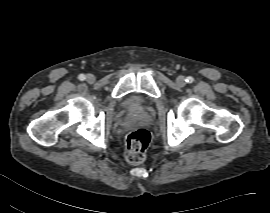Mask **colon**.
Instances as JSON below:
<instances>
[{"label": "colon", "instance_id": "1", "mask_svg": "<svg viewBox=\"0 0 270 213\" xmlns=\"http://www.w3.org/2000/svg\"><path fill=\"white\" fill-rule=\"evenodd\" d=\"M150 143V134L146 129H136L126 136L125 157L127 162L138 164L145 158Z\"/></svg>", "mask_w": 270, "mask_h": 213}]
</instances>
